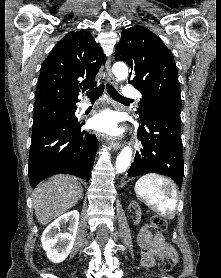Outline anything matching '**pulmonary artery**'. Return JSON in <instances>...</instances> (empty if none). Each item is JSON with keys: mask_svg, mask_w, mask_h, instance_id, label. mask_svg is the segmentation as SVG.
<instances>
[{"mask_svg": "<svg viewBox=\"0 0 221 278\" xmlns=\"http://www.w3.org/2000/svg\"><path fill=\"white\" fill-rule=\"evenodd\" d=\"M123 96L126 97V98H129V99H131V98H139L140 97V92L136 88H134V87L127 86L123 90ZM89 107H90V104L84 103L81 106V109L82 110H86Z\"/></svg>", "mask_w": 221, "mask_h": 278, "instance_id": "1", "label": "pulmonary artery"}]
</instances>
